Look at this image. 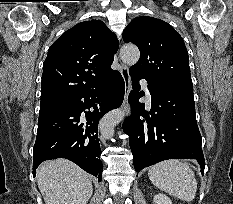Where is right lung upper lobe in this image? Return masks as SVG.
I'll use <instances>...</instances> for the list:
<instances>
[{"label":"right lung upper lobe","instance_id":"obj_1","mask_svg":"<svg viewBox=\"0 0 233 204\" xmlns=\"http://www.w3.org/2000/svg\"><path fill=\"white\" fill-rule=\"evenodd\" d=\"M119 42L101 20L78 23L53 43L43 64L41 102L68 100L104 81Z\"/></svg>","mask_w":233,"mask_h":204}]
</instances>
